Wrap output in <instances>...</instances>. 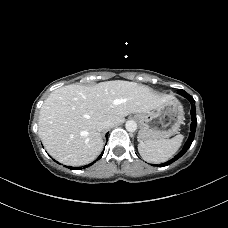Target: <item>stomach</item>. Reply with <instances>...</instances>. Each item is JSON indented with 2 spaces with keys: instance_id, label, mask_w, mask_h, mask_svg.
Segmentation results:
<instances>
[{
  "instance_id": "0dacf381",
  "label": "stomach",
  "mask_w": 228,
  "mask_h": 228,
  "mask_svg": "<svg viewBox=\"0 0 228 228\" xmlns=\"http://www.w3.org/2000/svg\"><path fill=\"white\" fill-rule=\"evenodd\" d=\"M140 124L139 138L144 141L166 139L179 130L183 122V108L173 97L151 112L135 115Z\"/></svg>"
}]
</instances>
